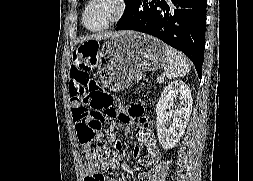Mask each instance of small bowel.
<instances>
[{"label": "small bowel", "mask_w": 253, "mask_h": 181, "mask_svg": "<svg viewBox=\"0 0 253 181\" xmlns=\"http://www.w3.org/2000/svg\"><path fill=\"white\" fill-rule=\"evenodd\" d=\"M94 60H74L73 67L70 72L69 93L71 100L77 96L87 93L90 84L89 73L92 70ZM72 103V112H73ZM119 123L115 126V130L109 133V139L117 143L118 135L125 129L127 125L137 127V143L132 147L131 155L134 159L142 157V147H145V156L142 165L145 168L157 166L161 161L160 149L156 143L155 136L151 133L150 126L143 119L144 108L140 104L120 105L118 107ZM122 171L121 165L116 158L108 159L103 167H91L88 164L84 166V181H117L107 178V171ZM90 177V178H89ZM131 179L130 172H126V180ZM141 181H150L151 175L145 174L141 176Z\"/></svg>", "instance_id": "c3829d8e"}]
</instances>
